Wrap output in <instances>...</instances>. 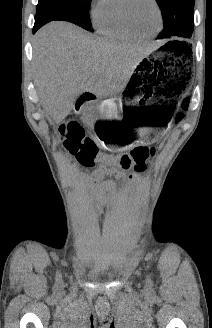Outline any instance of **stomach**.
<instances>
[{"instance_id":"stomach-1","label":"stomach","mask_w":212,"mask_h":328,"mask_svg":"<svg viewBox=\"0 0 212 328\" xmlns=\"http://www.w3.org/2000/svg\"><path fill=\"white\" fill-rule=\"evenodd\" d=\"M190 61L185 48L166 43L145 55L136 65L119 102H106V109H95L94 134L105 149L125 151L155 141L165 134L172 121L175 102L186 89ZM98 121V122H97Z\"/></svg>"}]
</instances>
